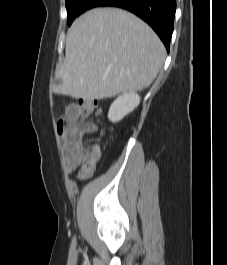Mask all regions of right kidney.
I'll return each instance as SVG.
<instances>
[{
    "label": "right kidney",
    "instance_id": "ca27d5eb",
    "mask_svg": "<svg viewBox=\"0 0 227 265\" xmlns=\"http://www.w3.org/2000/svg\"><path fill=\"white\" fill-rule=\"evenodd\" d=\"M140 103V96L134 92L124 93L111 105L108 118L112 122H119L127 114L132 112Z\"/></svg>",
    "mask_w": 227,
    "mask_h": 265
}]
</instances>
